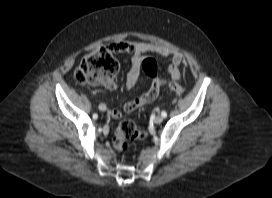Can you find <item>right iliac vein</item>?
I'll list each match as a JSON object with an SVG mask.
<instances>
[{"instance_id":"obj_1","label":"right iliac vein","mask_w":272,"mask_h":198,"mask_svg":"<svg viewBox=\"0 0 272 198\" xmlns=\"http://www.w3.org/2000/svg\"><path fill=\"white\" fill-rule=\"evenodd\" d=\"M99 109L101 110V111H106V106L105 105H101V106H99Z\"/></svg>"}]
</instances>
